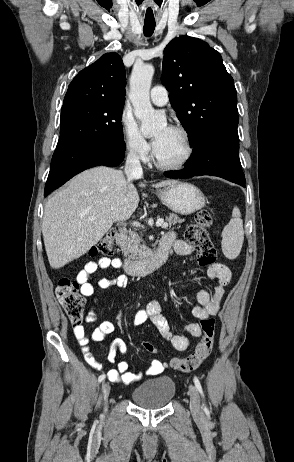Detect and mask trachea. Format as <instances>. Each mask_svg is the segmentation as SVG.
<instances>
[{
    "label": "trachea",
    "mask_w": 294,
    "mask_h": 462,
    "mask_svg": "<svg viewBox=\"0 0 294 462\" xmlns=\"http://www.w3.org/2000/svg\"><path fill=\"white\" fill-rule=\"evenodd\" d=\"M155 23L153 22H145L144 23V29H143V32H144V35L146 37H149L153 34L154 32V29H155Z\"/></svg>",
    "instance_id": "obj_1"
}]
</instances>
